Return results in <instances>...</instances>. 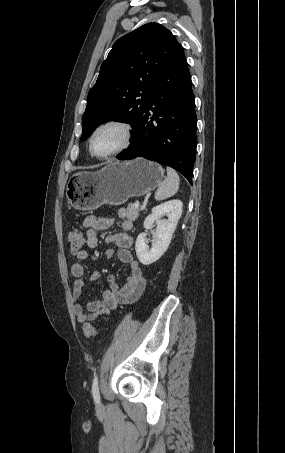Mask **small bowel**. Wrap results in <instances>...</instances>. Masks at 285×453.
Here are the masks:
<instances>
[{
    "label": "small bowel",
    "instance_id": "obj_1",
    "mask_svg": "<svg viewBox=\"0 0 285 453\" xmlns=\"http://www.w3.org/2000/svg\"><path fill=\"white\" fill-rule=\"evenodd\" d=\"M112 224L113 220L109 218L94 215L87 216L82 222L83 227L86 229V246L90 249L96 248L98 246L97 232L108 229ZM120 227L122 231L113 232L105 238L107 245H115L117 247L116 250L108 248L105 251V258L112 260L117 257L126 265L128 275L124 278V284L122 286H119L114 275H109L107 277L108 288L103 292L102 300L89 302L86 310H84L79 300L83 294L85 267L80 262L74 263L71 266V274L75 278L72 301L76 319L80 323L87 324L102 315H108L120 304L135 302L140 298L146 287V278L131 251L133 238L128 231L132 228V222L123 219L120 221ZM76 257L78 260L83 261L87 259L88 251L84 249ZM100 278L101 274L98 271H93L90 281L95 282Z\"/></svg>",
    "mask_w": 285,
    "mask_h": 453
}]
</instances>
